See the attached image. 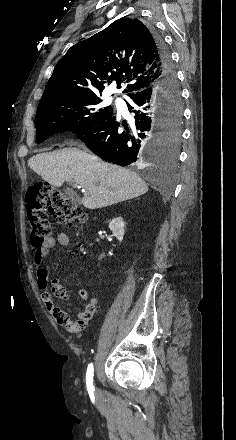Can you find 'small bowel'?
Masks as SVG:
<instances>
[{
	"label": "small bowel",
	"instance_id": "obj_1",
	"mask_svg": "<svg viewBox=\"0 0 236 440\" xmlns=\"http://www.w3.org/2000/svg\"><path fill=\"white\" fill-rule=\"evenodd\" d=\"M61 246H68L70 244V236L65 232H60L56 238L48 237L44 240L42 245L35 248L34 259L37 264H40L42 259L47 256L49 251L55 246V243ZM37 283L41 290V299L46 309L51 316L60 324L61 320L70 318L69 315L61 310L54 301V296L68 300L69 295L65 287L60 283L58 279H54L49 285L48 274L45 269H37ZM80 299L85 303V308L77 314V319L74 321H61V330H68L73 333H81L82 330H86L87 321L93 316L97 307V299L90 297L87 289H81L79 291Z\"/></svg>",
	"mask_w": 236,
	"mask_h": 440
}]
</instances>
